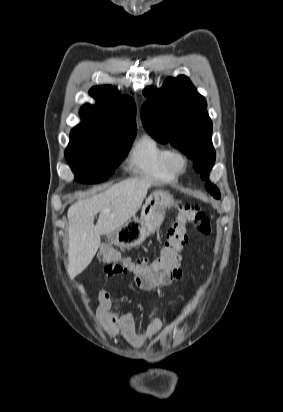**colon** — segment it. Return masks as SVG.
Returning <instances> with one entry per match:
<instances>
[{"label": "colon", "instance_id": "5ec220e1", "mask_svg": "<svg viewBox=\"0 0 283 412\" xmlns=\"http://www.w3.org/2000/svg\"><path fill=\"white\" fill-rule=\"evenodd\" d=\"M193 225L202 235L211 231L210 220L206 212L197 205H181L174 217L172 226L167 233L165 245L155 260L135 259L123 260L108 244H103L98 252V260L105 265L104 271L108 275L132 272L152 279L168 272L174 257L178 255L188 239V226Z\"/></svg>", "mask_w": 283, "mask_h": 412}]
</instances>
